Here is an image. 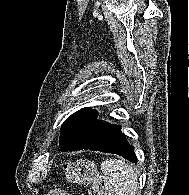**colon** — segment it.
Here are the masks:
<instances>
[{
  "mask_svg": "<svg viewBox=\"0 0 189 195\" xmlns=\"http://www.w3.org/2000/svg\"><path fill=\"white\" fill-rule=\"evenodd\" d=\"M66 178L73 183L89 186V195H109L108 181L96 173L90 165V160L82 158L64 164ZM50 195H70L63 189H56Z\"/></svg>",
  "mask_w": 189,
  "mask_h": 195,
  "instance_id": "obj_1",
  "label": "colon"
}]
</instances>
